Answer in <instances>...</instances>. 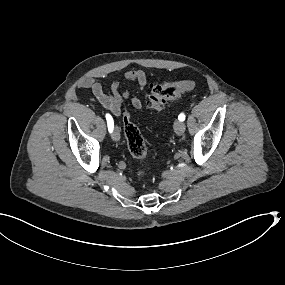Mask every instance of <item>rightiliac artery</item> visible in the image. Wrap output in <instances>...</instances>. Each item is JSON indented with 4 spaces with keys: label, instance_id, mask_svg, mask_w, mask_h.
<instances>
[{
    "label": "right iliac artery",
    "instance_id": "1",
    "mask_svg": "<svg viewBox=\"0 0 285 285\" xmlns=\"http://www.w3.org/2000/svg\"><path fill=\"white\" fill-rule=\"evenodd\" d=\"M106 120H107L108 130L110 133H112L114 128V121L112 116L110 114H106Z\"/></svg>",
    "mask_w": 285,
    "mask_h": 285
}]
</instances>
